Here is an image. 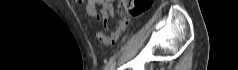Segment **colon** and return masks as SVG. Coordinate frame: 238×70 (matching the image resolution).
<instances>
[{"mask_svg":"<svg viewBox=\"0 0 238 70\" xmlns=\"http://www.w3.org/2000/svg\"><path fill=\"white\" fill-rule=\"evenodd\" d=\"M78 3H81L82 0H75ZM152 0H126L124 1L126 9L133 16H138L142 14L146 9L151 5ZM91 13H94L88 8Z\"/></svg>","mask_w":238,"mask_h":70,"instance_id":"5ec220e1","label":"colon"}]
</instances>
